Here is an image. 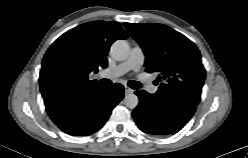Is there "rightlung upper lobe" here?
<instances>
[{
    "instance_id": "obj_1",
    "label": "right lung upper lobe",
    "mask_w": 248,
    "mask_h": 158,
    "mask_svg": "<svg viewBox=\"0 0 248 158\" xmlns=\"http://www.w3.org/2000/svg\"><path fill=\"white\" fill-rule=\"evenodd\" d=\"M127 39L118 22L93 21L61 35L42 60L39 84L45 106L100 86L91 72L106 68L107 54L116 39Z\"/></svg>"
}]
</instances>
